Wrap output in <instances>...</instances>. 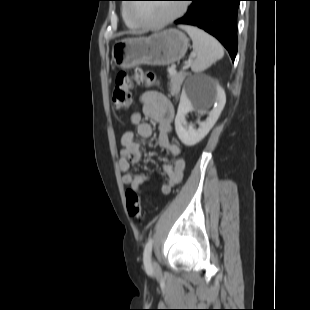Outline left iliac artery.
<instances>
[{"label":"left iliac artery","instance_id":"left-iliac-artery-1","mask_svg":"<svg viewBox=\"0 0 310 310\" xmlns=\"http://www.w3.org/2000/svg\"><path fill=\"white\" fill-rule=\"evenodd\" d=\"M153 238L150 237L147 241L143 253V262L146 270H151V253H152V246H153Z\"/></svg>","mask_w":310,"mask_h":310}]
</instances>
